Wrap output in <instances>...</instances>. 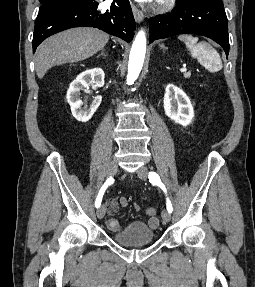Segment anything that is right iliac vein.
Here are the masks:
<instances>
[{
    "mask_svg": "<svg viewBox=\"0 0 255 287\" xmlns=\"http://www.w3.org/2000/svg\"><path fill=\"white\" fill-rule=\"evenodd\" d=\"M117 172V164L116 162L112 161L110 162L109 166H108V170L107 173L109 176H114ZM106 209L104 205H101L98 209H97V217L99 219H102L105 215Z\"/></svg>",
    "mask_w": 255,
    "mask_h": 287,
    "instance_id": "obj_1",
    "label": "right iliac vein"
}]
</instances>
